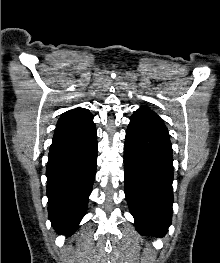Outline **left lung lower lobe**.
<instances>
[{
    "instance_id": "1",
    "label": "left lung lower lobe",
    "mask_w": 220,
    "mask_h": 263,
    "mask_svg": "<svg viewBox=\"0 0 220 263\" xmlns=\"http://www.w3.org/2000/svg\"><path fill=\"white\" fill-rule=\"evenodd\" d=\"M125 195L141 234L164 236L172 218L173 158L168 131L130 118L124 145Z\"/></svg>"
}]
</instances>
